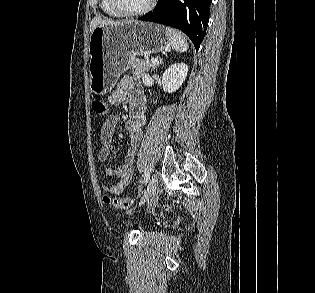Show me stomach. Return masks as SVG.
Here are the masks:
<instances>
[{
    "mask_svg": "<svg viewBox=\"0 0 315 293\" xmlns=\"http://www.w3.org/2000/svg\"><path fill=\"white\" fill-rule=\"evenodd\" d=\"M170 47L161 25L128 21L96 27L89 38V80L91 92H110L135 56H149Z\"/></svg>",
    "mask_w": 315,
    "mask_h": 293,
    "instance_id": "0dacf381",
    "label": "stomach"
}]
</instances>
